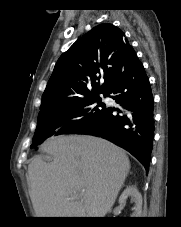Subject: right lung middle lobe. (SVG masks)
Listing matches in <instances>:
<instances>
[{"instance_id":"right-lung-middle-lobe-1","label":"right lung middle lobe","mask_w":181,"mask_h":227,"mask_svg":"<svg viewBox=\"0 0 181 227\" xmlns=\"http://www.w3.org/2000/svg\"><path fill=\"white\" fill-rule=\"evenodd\" d=\"M100 94L108 95L107 92L97 93L40 110L31 148H36L48 137L77 134L95 123L106 110Z\"/></svg>"}]
</instances>
